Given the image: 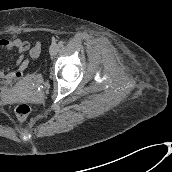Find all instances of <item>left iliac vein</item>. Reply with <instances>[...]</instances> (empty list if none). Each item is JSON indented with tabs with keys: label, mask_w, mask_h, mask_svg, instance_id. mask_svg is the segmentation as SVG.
I'll use <instances>...</instances> for the list:
<instances>
[{
	"label": "left iliac vein",
	"mask_w": 172,
	"mask_h": 172,
	"mask_svg": "<svg viewBox=\"0 0 172 172\" xmlns=\"http://www.w3.org/2000/svg\"><path fill=\"white\" fill-rule=\"evenodd\" d=\"M59 51V46L56 44V43H53L51 46H50V49H49V52L52 56L56 55Z\"/></svg>",
	"instance_id": "1"
}]
</instances>
